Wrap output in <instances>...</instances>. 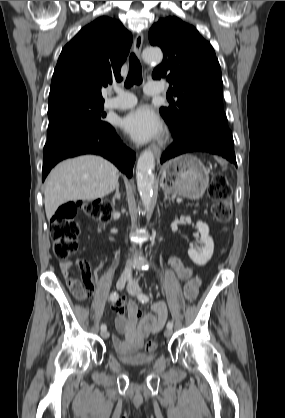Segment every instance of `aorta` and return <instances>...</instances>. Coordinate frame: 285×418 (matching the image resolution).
Returning <instances> with one entry per match:
<instances>
[{
    "instance_id": "1",
    "label": "aorta",
    "mask_w": 285,
    "mask_h": 418,
    "mask_svg": "<svg viewBox=\"0 0 285 418\" xmlns=\"http://www.w3.org/2000/svg\"><path fill=\"white\" fill-rule=\"evenodd\" d=\"M143 59L148 63L160 62L163 58L159 49L147 48L143 51ZM155 158L151 150L141 153L136 166V181L139 195L147 211L150 210L154 193V174Z\"/></svg>"
}]
</instances>
